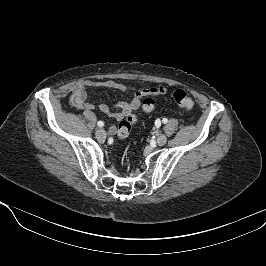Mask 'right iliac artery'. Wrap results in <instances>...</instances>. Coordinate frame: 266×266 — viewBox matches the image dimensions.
<instances>
[{
  "instance_id": "obj_1",
  "label": "right iliac artery",
  "mask_w": 266,
  "mask_h": 266,
  "mask_svg": "<svg viewBox=\"0 0 266 266\" xmlns=\"http://www.w3.org/2000/svg\"><path fill=\"white\" fill-rule=\"evenodd\" d=\"M97 125H98L99 127H103V126H104V123H103L102 121H98Z\"/></svg>"
}]
</instances>
